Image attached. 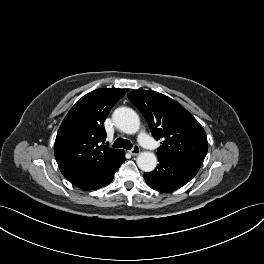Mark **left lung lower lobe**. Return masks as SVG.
<instances>
[{
	"mask_svg": "<svg viewBox=\"0 0 264 264\" xmlns=\"http://www.w3.org/2000/svg\"><path fill=\"white\" fill-rule=\"evenodd\" d=\"M157 168L144 173V179L149 187L160 192H170L187 184L198 172L193 165L169 158L158 157Z\"/></svg>",
	"mask_w": 264,
	"mask_h": 264,
	"instance_id": "1",
	"label": "left lung lower lobe"
}]
</instances>
